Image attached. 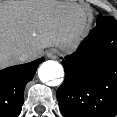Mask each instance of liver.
Listing matches in <instances>:
<instances>
[{
  "label": "liver",
  "mask_w": 117,
  "mask_h": 117,
  "mask_svg": "<svg viewBox=\"0 0 117 117\" xmlns=\"http://www.w3.org/2000/svg\"><path fill=\"white\" fill-rule=\"evenodd\" d=\"M90 21V13L78 5L0 4V68L35 58L48 47L72 45ZM26 50L33 53L22 57Z\"/></svg>",
  "instance_id": "6515ba94"
}]
</instances>
